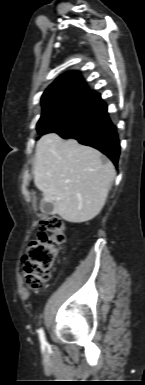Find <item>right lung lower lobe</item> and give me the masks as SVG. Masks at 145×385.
Returning a JSON list of instances; mask_svg holds the SVG:
<instances>
[{
  "instance_id": "obj_1",
  "label": "right lung lower lobe",
  "mask_w": 145,
  "mask_h": 385,
  "mask_svg": "<svg viewBox=\"0 0 145 385\" xmlns=\"http://www.w3.org/2000/svg\"><path fill=\"white\" fill-rule=\"evenodd\" d=\"M62 138H74L83 145L94 147L117 165L120 144L115 127L110 121L107 106L101 98L71 124L56 132Z\"/></svg>"
}]
</instances>
